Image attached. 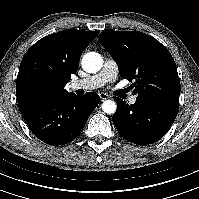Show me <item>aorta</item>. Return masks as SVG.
<instances>
[{
    "label": "aorta",
    "instance_id": "762f6f07",
    "mask_svg": "<svg viewBox=\"0 0 199 199\" xmlns=\"http://www.w3.org/2000/svg\"><path fill=\"white\" fill-rule=\"evenodd\" d=\"M82 68L88 73H96L103 66L102 57L96 52H88L82 58ZM116 103L113 100H106L102 104V110L107 114H113L116 111Z\"/></svg>",
    "mask_w": 199,
    "mask_h": 199
}]
</instances>
